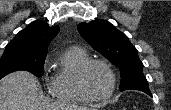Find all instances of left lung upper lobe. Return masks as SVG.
Wrapping results in <instances>:
<instances>
[{
	"label": "left lung upper lobe",
	"instance_id": "left-lung-upper-lobe-1",
	"mask_svg": "<svg viewBox=\"0 0 171 110\" xmlns=\"http://www.w3.org/2000/svg\"><path fill=\"white\" fill-rule=\"evenodd\" d=\"M77 29L92 48L120 68L121 91L135 89L147 94L150 92L137 49L124 33L106 21L80 23Z\"/></svg>",
	"mask_w": 171,
	"mask_h": 110
}]
</instances>
